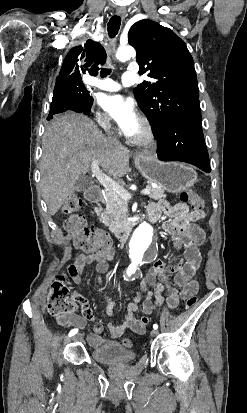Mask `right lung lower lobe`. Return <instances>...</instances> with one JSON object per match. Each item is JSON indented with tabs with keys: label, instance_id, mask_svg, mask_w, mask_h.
<instances>
[{
	"label": "right lung lower lobe",
	"instance_id": "right-lung-lower-lobe-1",
	"mask_svg": "<svg viewBox=\"0 0 247 413\" xmlns=\"http://www.w3.org/2000/svg\"><path fill=\"white\" fill-rule=\"evenodd\" d=\"M92 104L93 98L91 96L88 98L78 96L53 97L47 120L52 119L55 114L63 113L68 110L87 115L91 111Z\"/></svg>",
	"mask_w": 247,
	"mask_h": 413
}]
</instances>
